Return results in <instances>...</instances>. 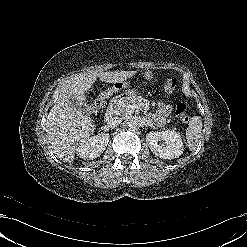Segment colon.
Masks as SVG:
<instances>
[{
    "mask_svg": "<svg viewBox=\"0 0 247 247\" xmlns=\"http://www.w3.org/2000/svg\"><path fill=\"white\" fill-rule=\"evenodd\" d=\"M177 86H178V81L176 78H167L163 82V89L168 94L175 92ZM98 111H99L98 106H95L94 112L97 113ZM175 115L181 121L187 122L189 120L187 106L184 103H178L175 107Z\"/></svg>",
    "mask_w": 247,
    "mask_h": 247,
    "instance_id": "obj_1",
    "label": "colon"
}]
</instances>
